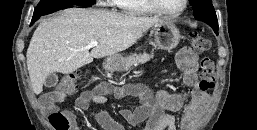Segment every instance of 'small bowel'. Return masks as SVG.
Wrapping results in <instances>:
<instances>
[{"instance_id":"c3829d8e","label":"small bowel","mask_w":257,"mask_h":130,"mask_svg":"<svg viewBox=\"0 0 257 130\" xmlns=\"http://www.w3.org/2000/svg\"><path fill=\"white\" fill-rule=\"evenodd\" d=\"M176 63L182 72V80L188 91L171 94L164 90L152 92L144 85L116 86L102 82L92 90L84 91L76 99L79 110L88 111L90 103L104 104L109 97L122 99L128 96L138 98L139 105L134 108H122L121 116L131 125L145 123L143 130H191L208 101V95L199 88L197 76L198 55L190 48H183L176 56ZM65 94L51 91L41 98V105L47 111H56L57 103ZM181 111L177 125L174 112ZM70 118V130H81L76 116L64 111ZM93 117L105 130H125L124 126L111 117L104 109L93 111Z\"/></svg>"}]
</instances>
